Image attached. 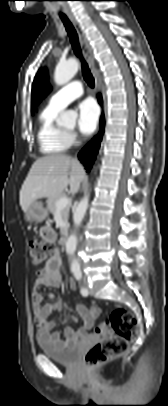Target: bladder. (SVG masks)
Here are the masks:
<instances>
[{"label": "bladder", "instance_id": "obj_1", "mask_svg": "<svg viewBox=\"0 0 168 406\" xmlns=\"http://www.w3.org/2000/svg\"><path fill=\"white\" fill-rule=\"evenodd\" d=\"M37 343L46 356L61 364L73 365L80 355L78 346H58L39 336L37 337Z\"/></svg>", "mask_w": 168, "mask_h": 406}]
</instances>
